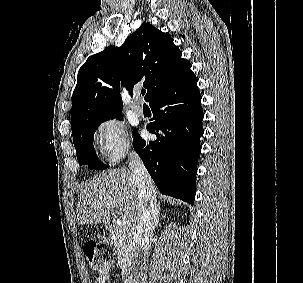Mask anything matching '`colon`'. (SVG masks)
I'll return each mask as SVG.
<instances>
[{
  "instance_id": "5ec220e1",
  "label": "colon",
  "mask_w": 303,
  "mask_h": 283,
  "mask_svg": "<svg viewBox=\"0 0 303 283\" xmlns=\"http://www.w3.org/2000/svg\"><path fill=\"white\" fill-rule=\"evenodd\" d=\"M83 252L88 267L93 272H101L110 256V248L107 245L94 241L85 243Z\"/></svg>"
}]
</instances>
